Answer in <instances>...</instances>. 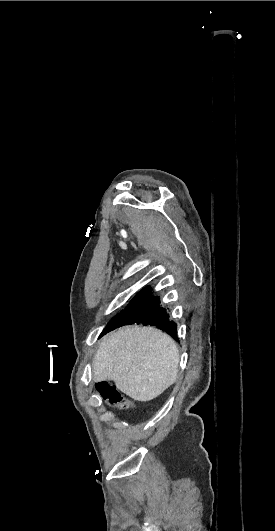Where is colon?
<instances>
[{
	"label": "colon",
	"instance_id": "1",
	"mask_svg": "<svg viewBox=\"0 0 275 531\" xmlns=\"http://www.w3.org/2000/svg\"><path fill=\"white\" fill-rule=\"evenodd\" d=\"M98 394L112 407L127 410L132 402L107 381H100L96 386Z\"/></svg>",
	"mask_w": 275,
	"mask_h": 531
}]
</instances>
